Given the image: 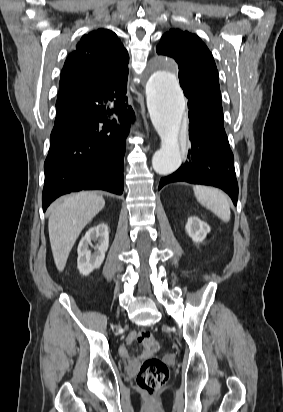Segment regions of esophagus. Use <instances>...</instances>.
<instances>
[{"instance_id": "obj_1", "label": "esophagus", "mask_w": 283, "mask_h": 412, "mask_svg": "<svg viewBox=\"0 0 283 412\" xmlns=\"http://www.w3.org/2000/svg\"><path fill=\"white\" fill-rule=\"evenodd\" d=\"M146 129H147V130L149 129L147 124H146Z\"/></svg>"}]
</instances>
